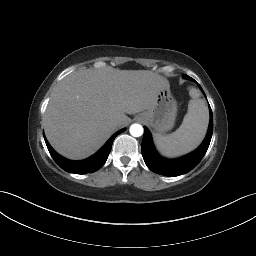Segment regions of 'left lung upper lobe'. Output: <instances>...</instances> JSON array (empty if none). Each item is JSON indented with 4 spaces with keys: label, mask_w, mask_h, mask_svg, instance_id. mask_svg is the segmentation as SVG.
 Returning a JSON list of instances; mask_svg holds the SVG:
<instances>
[{
    "label": "left lung upper lobe",
    "mask_w": 256,
    "mask_h": 256,
    "mask_svg": "<svg viewBox=\"0 0 256 256\" xmlns=\"http://www.w3.org/2000/svg\"><path fill=\"white\" fill-rule=\"evenodd\" d=\"M183 77L187 79L188 75H185V74H184Z\"/></svg>",
    "instance_id": "obj_1"
}]
</instances>
